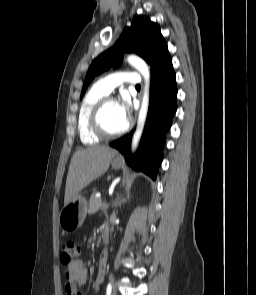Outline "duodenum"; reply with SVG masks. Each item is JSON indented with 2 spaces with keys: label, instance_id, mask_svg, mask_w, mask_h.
Masks as SVG:
<instances>
[{
  "label": "duodenum",
  "instance_id": "obj_1",
  "mask_svg": "<svg viewBox=\"0 0 256 295\" xmlns=\"http://www.w3.org/2000/svg\"><path fill=\"white\" fill-rule=\"evenodd\" d=\"M102 240L104 242L108 241V228L106 226L102 230Z\"/></svg>",
  "mask_w": 256,
  "mask_h": 295
}]
</instances>
